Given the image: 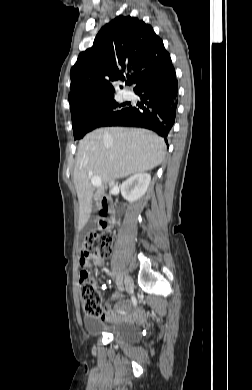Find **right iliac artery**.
Returning a JSON list of instances; mask_svg holds the SVG:
<instances>
[{
	"label": "right iliac artery",
	"mask_w": 252,
	"mask_h": 390,
	"mask_svg": "<svg viewBox=\"0 0 252 390\" xmlns=\"http://www.w3.org/2000/svg\"><path fill=\"white\" fill-rule=\"evenodd\" d=\"M110 275H112V274L110 273ZM112 277H113V276H112ZM131 304L133 305V307H135V309H131V312H136V310H138V307H137L138 299L135 298V297H132V298H131ZM118 313H119L120 316L125 315V312H123V311H121V310H118Z\"/></svg>",
	"instance_id": "1"
}]
</instances>
